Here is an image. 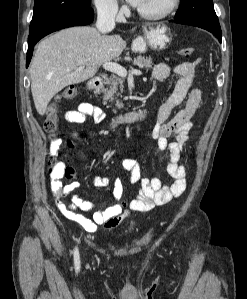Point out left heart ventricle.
I'll return each instance as SVG.
<instances>
[{
  "instance_id": "left-heart-ventricle-1",
  "label": "left heart ventricle",
  "mask_w": 247,
  "mask_h": 299,
  "mask_svg": "<svg viewBox=\"0 0 247 299\" xmlns=\"http://www.w3.org/2000/svg\"><path fill=\"white\" fill-rule=\"evenodd\" d=\"M168 1L169 0H142L138 8L148 12H155L163 9Z\"/></svg>"
}]
</instances>
